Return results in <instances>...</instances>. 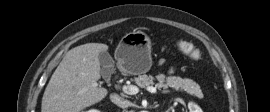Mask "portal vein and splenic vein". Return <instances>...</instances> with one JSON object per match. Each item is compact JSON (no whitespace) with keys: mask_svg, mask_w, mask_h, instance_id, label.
Wrapping results in <instances>:
<instances>
[{"mask_svg":"<svg viewBox=\"0 0 270 112\" xmlns=\"http://www.w3.org/2000/svg\"><path fill=\"white\" fill-rule=\"evenodd\" d=\"M122 89L126 94H129V95H135V94H137L139 92V88L137 86H135V85H124L122 87ZM146 89L150 93H153V94L157 93L156 88L153 87V86H148ZM168 92H169L168 90L163 91V93H168Z\"/></svg>","mask_w":270,"mask_h":112,"instance_id":"18ae733b","label":"portal vein and splenic vein"}]
</instances>
